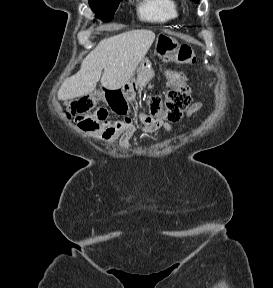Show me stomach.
I'll return each mask as SVG.
<instances>
[{
  "mask_svg": "<svg viewBox=\"0 0 273 288\" xmlns=\"http://www.w3.org/2000/svg\"><path fill=\"white\" fill-rule=\"evenodd\" d=\"M177 41L171 36L161 34L155 44V53L162 60H168L171 58V54L174 52ZM137 79L128 80L123 88L127 86L128 90L134 92L136 90L142 91L143 87L149 83L154 76V72L151 68V62L148 59H143L137 68ZM148 88H151L149 86Z\"/></svg>",
  "mask_w": 273,
  "mask_h": 288,
  "instance_id": "obj_1",
  "label": "stomach"
}]
</instances>
